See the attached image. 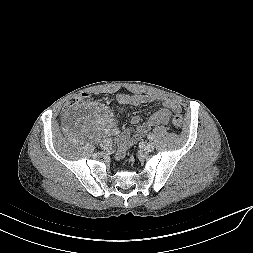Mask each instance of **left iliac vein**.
I'll return each instance as SVG.
<instances>
[{
  "label": "left iliac vein",
  "mask_w": 253,
  "mask_h": 253,
  "mask_svg": "<svg viewBox=\"0 0 253 253\" xmlns=\"http://www.w3.org/2000/svg\"><path fill=\"white\" fill-rule=\"evenodd\" d=\"M154 143L153 142H148L144 145V151L145 152H152L154 150Z\"/></svg>",
  "instance_id": "left-iliac-vein-1"
}]
</instances>
